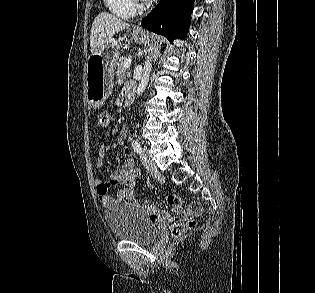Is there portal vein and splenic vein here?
<instances>
[{
	"mask_svg": "<svg viewBox=\"0 0 315 293\" xmlns=\"http://www.w3.org/2000/svg\"><path fill=\"white\" fill-rule=\"evenodd\" d=\"M131 63H132V59H131V58H128V59L125 61V63H124V67H125L126 69L129 68L130 65H131Z\"/></svg>",
	"mask_w": 315,
	"mask_h": 293,
	"instance_id": "1",
	"label": "portal vein and splenic vein"
}]
</instances>
